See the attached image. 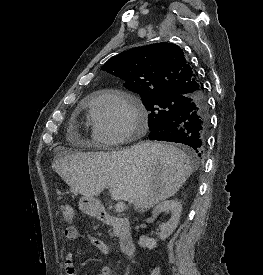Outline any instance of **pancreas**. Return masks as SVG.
Segmentation results:
<instances>
[{
  "label": "pancreas",
  "mask_w": 263,
  "mask_h": 275,
  "mask_svg": "<svg viewBox=\"0 0 263 275\" xmlns=\"http://www.w3.org/2000/svg\"><path fill=\"white\" fill-rule=\"evenodd\" d=\"M113 235V233H110V236H112Z\"/></svg>",
  "instance_id": "1"
}]
</instances>
